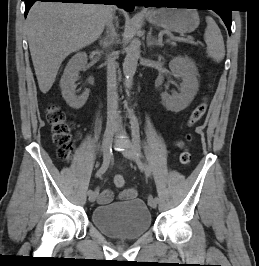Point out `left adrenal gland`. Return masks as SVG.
I'll use <instances>...</instances> for the list:
<instances>
[{
	"instance_id": "left-adrenal-gland-1",
	"label": "left adrenal gland",
	"mask_w": 259,
	"mask_h": 266,
	"mask_svg": "<svg viewBox=\"0 0 259 266\" xmlns=\"http://www.w3.org/2000/svg\"><path fill=\"white\" fill-rule=\"evenodd\" d=\"M153 45H156V46H163V42H162V38L159 37L158 39H155L152 37V28H150V31L147 35V46L150 47V46H153Z\"/></svg>"
}]
</instances>
